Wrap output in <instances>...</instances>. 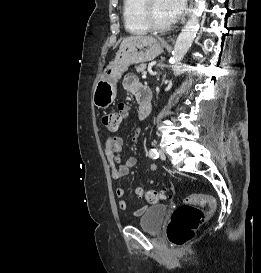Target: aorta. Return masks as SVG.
Segmentation results:
<instances>
[{
	"label": "aorta",
	"instance_id": "obj_1",
	"mask_svg": "<svg viewBox=\"0 0 261 273\" xmlns=\"http://www.w3.org/2000/svg\"><path fill=\"white\" fill-rule=\"evenodd\" d=\"M204 6L205 0H195L192 14L175 42L171 63L179 64L191 47L199 29V18L202 15Z\"/></svg>",
	"mask_w": 261,
	"mask_h": 273
}]
</instances>
